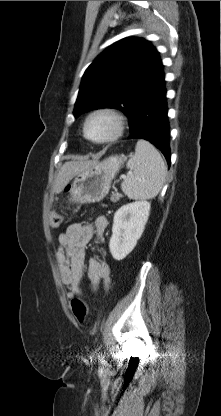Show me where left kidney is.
I'll use <instances>...</instances> for the list:
<instances>
[{
	"instance_id": "5707ae66",
	"label": "left kidney",
	"mask_w": 221,
	"mask_h": 416,
	"mask_svg": "<svg viewBox=\"0 0 221 416\" xmlns=\"http://www.w3.org/2000/svg\"><path fill=\"white\" fill-rule=\"evenodd\" d=\"M150 213V203L136 201L120 207L114 214L112 236L109 242L114 259H124L142 236Z\"/></svg>"
}]
</instances>
